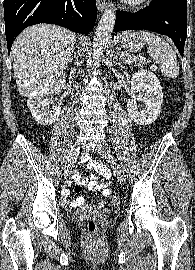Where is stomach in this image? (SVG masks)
Listing matches in <instances>:
<instances>
[{"label": "stomach", "mask_w": 195, "mask_h": 270, "mask_svg": "<svg viewBox=\"0 0 195 270\" xmlns=\"http://www.w3.org/2000/svg\"><path fill=\"white\" fill-rule=\"evenodd\" d=\"M120 41L123 48L131 52H136L142 49L144 39L140 33L135 31L123 32L120 34Z\"/></svg>", "instance_id": "0dacf381"}]
</instances>
